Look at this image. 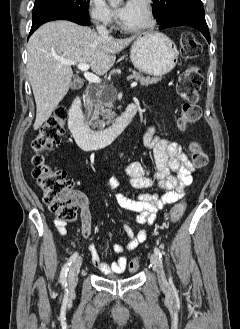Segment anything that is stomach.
Here are the masks:
<instances>
[{"instance_id": "0dacf381", "label": "stomach", "mask_w": 240, "mask_h": 329, "mask_svg": "<svg viewBox=\"0 0 240 329\" xmlns=\"http://www.w3.org/2000/svg\"><path fill=\"white\" fill-rule=\"evenodd\" d=\"M179 52L174 42L163 33H147L137 37L131 47L130 59L140 72L163 76L176 65Z\"/></svg>"}]
</instances>
